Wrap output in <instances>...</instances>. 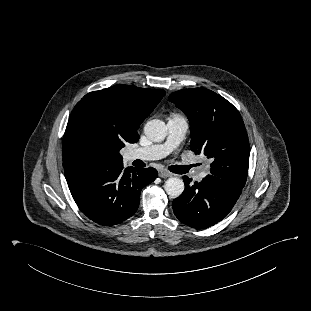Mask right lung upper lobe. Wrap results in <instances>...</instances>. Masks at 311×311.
<instances>
[{"instance_id": "1", "label": "right lung upper lobe", "mask_w": 311, "mask_h": 311, "mask_svg": "<svg viewBox=\"0 0 311 311\" xmlns=\"http://www.w3.org/2000/svg\"><path fill=\"white\" fill-rule=\"evenodd\" d=\"M164 95L163 89L116 85L85 95L75 106L70 118L85 109H93L101 123L116 135L124 147L125 143L138 141L139 125L151 114ZM118 156L116 163H123L119 153Z\"/></svg>"}]
</instances>
